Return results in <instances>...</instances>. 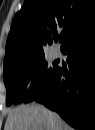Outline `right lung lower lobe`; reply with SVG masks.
<instances>
[{
  "label": "right lung lower lobe",
  "instance_id": "98d812e1",
  "mask_svg": "<svg viewBox=\"0 0 95 130\" xmlns=\"http://www.w3.org/2000/svg\"><path fill=\"white\" fill-rule=\"evenodd\" d=\"M61 51L68 55L70 71L57 67L32 100L58 112L71 126L89 129L95 118V32Z\"/></svg>",
  "mask_w": 95,
  "mask_h": 130
}]
</instances>
